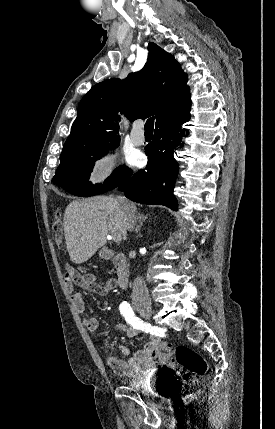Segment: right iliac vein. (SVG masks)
<instances>
[{"label":"right iliac vein","mask_w":275,"mask_h":429,"mask_svg":"<svg viewBox=\"0 0 275 429\" xmlns=\"http://www.w3.org/2000/svg\"><path fill=\"white\" fill-rule=\"evenodd\" d=\"M137 310L146 319H150L152 316V307L149 303H140L137 305Z\"/></svg>","instance_id":"obj_1"}]
</instances>
